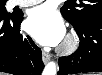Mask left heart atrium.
I'll return each instance as SVG.
<instances>
[{"label":"left heart atrium","mask_w":102,"mask_h":75,"mask_svg":"<svg viewBox=\"0 0 102 75\" xmlns=\"http://www.w3.org/2000/svg\"><path fill=\"white\" fill-rule=\"evenodd\" d=\"M27 32L41 45L54 46L63 41L65 25L58 13L48 4L34 7L26 20Z\"/></svg>","instance_id":"left-heart-atrium-1"}]
</instances>
